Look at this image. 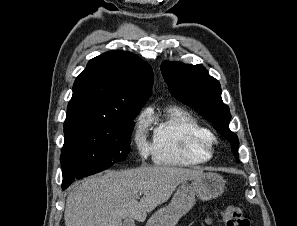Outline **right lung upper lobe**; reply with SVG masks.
Listing matches in <instances>:
<instances>
[{
  "mask_svg": "<svg viewBox=\"0 0 297 226\" xmlns=\"http://www.w3.org/2000/svg\"><path fill=\"white\" fill-rule=\"evenodd\" d=\"M153 79L152 68L130 52L117 50L95 57L74 82L65 122L117 121L128 107L143 106Z\"/></svg>",
  "mask_w": 297,
  "mask_h": 226,
  "instance_id": "cb5924a9",
  "label": "right lung upper lobe"
}]
</instances>
